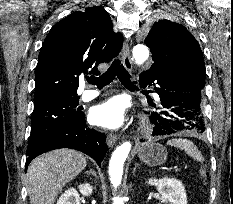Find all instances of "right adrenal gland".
<instances>
[{
	"instance_id": "1",
	"label": "right adrenal gland",
	"mask_w": 233,
	"mask_h": 204,
	"mask_svg": "<svg viewBox=\"0 0 233 204\" xmlns=\"http://www.w3.org/2000/svg\"><path fill=\"white\" fill-rule=\"evenodd\" d=\"M86 173H87V174H92L93 176H95V177L97 178L96 173H95L92 169H90V170L87 171Z\"/></svg>"
}]
</instances>
